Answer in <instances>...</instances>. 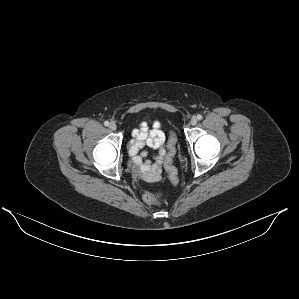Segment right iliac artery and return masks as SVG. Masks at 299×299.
Here are the masks:
<instances>
[{"mask_svg":"<svg viewBox=\"0 0 299 299\" xmlns=\"http://www.w3.org/2000/svg\"><path fill=\"white\" fill-rule=\"evenodd\" d=\"M104 125H105V126H109V122H108V121H105V122H104Z\"/></svg>","mask_w":299,"mask_h":299,"instance_id":"right-iliac-artery-1","label":"right iliac artery"}]
</instances>
